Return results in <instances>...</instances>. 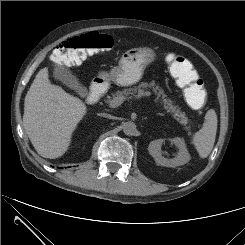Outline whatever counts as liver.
Returning a JSON list of instances; mask_svg holds the SVG:
<instances>
[{"label": "liver", "mask_w": 245, "mask_h": 245, "mask_svg": "<svg viewBox=\"0 0 245 245\" xmlns=\"http://www.w3.org/2000/svg\"><path fill=\"white\" fill-rule=\"evenodd\" d=\"M86 111L79 98L51 84L45 67L38 72L26 94L23 125L37 153L54 159L67 151Z\"/></svg>", "instance_id": "liver-1"}]
</instances>
